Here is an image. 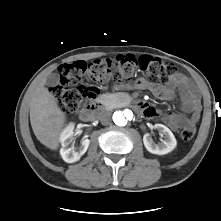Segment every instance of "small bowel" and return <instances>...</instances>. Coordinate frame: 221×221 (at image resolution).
Listing matches in <instances>:
<instances>
[{"mask_svg":"<svg viewBox=\"0 0 221 221\" xmlns=\"http://www.w3.org/2000/svg\"><path fill=\"white\" fill-rule=\"evenodd\" d=\"M138 86L143 87L147 84L144 81H139ZM152 93L161 100H169L174 96L175 90L178 89L181 96V110L184 114L172 113L162 115L159 111L151 106L144 104L141 110L148 118L162 117V119L174 130H180L188 125H196L200 117V98L192 87L189 79L184 75H178L166 86H149ZM188 114V116L186 115Z\"/></svg>","mask_w":221,"mask_h":221,"instance_id":"c3829d8e","label":"small bowel"}]
</instances>
